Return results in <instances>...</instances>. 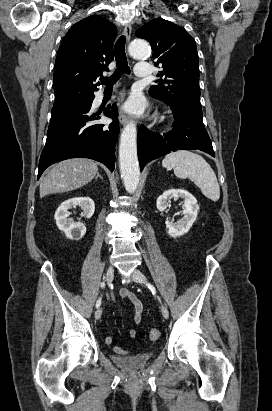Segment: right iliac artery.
Here are the masks:
<instances>
[{
    "label": "right iliac artery",
    "mask_w": 272,
    "mask_h": 411,
    "mask_svg": "<svg viewBox=\"0 0 272 411\" xmlns=\"http://www.w3.org/2000/svg\"><path fill=\"white\" fill-rule=\"evenodd\" d=\"M100 285H101L102 288L105 287V284L103 282ZM100 305H101V297L97 300L96 307L98 308ZM107 339H106V342H107Z\"/></svg>",
    "instance_id": "1"
}]
</instances>
